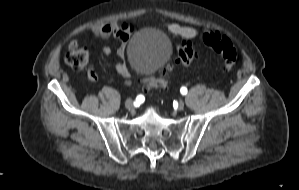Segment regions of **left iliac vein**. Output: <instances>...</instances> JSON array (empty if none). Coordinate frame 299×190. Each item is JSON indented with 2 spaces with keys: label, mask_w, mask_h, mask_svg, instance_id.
Listing matches in <instances>:
<instances>
[{
  "label": "left iliac vein",
  "mask_w": 299,
  "mask_h": 190,
  "mask_svg": "<svg viewBox=\"0 0 299 190\" xmlns=\"http://www.w3.org/2000/svg\"><path fill=\"white\" fill-rule=\"evenodd\" d=\"M184 106H185V104H184V102L183 101H180L179 103H178V110H183L184 109Z\"/></svg>",
  "instance_id": "left-iliac-vein-1"
}]
</instances>
